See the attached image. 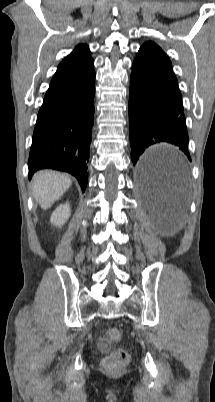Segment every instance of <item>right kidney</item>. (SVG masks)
<instances>
[{
	"instance_id": "obj_1",
	"label": "right kidney",
	"mask_w": 215,
	"mask_h": 402,
	"mask_svg": "<svg viewBox=\"0 0 215 402\" xmlns=\"http://www.w3.org/2000/svg\"><path fill=\"white\" fill-rule=\"evenodd\" d=\"M70 206L68 203L59 205L51 215V224L62 226L70 216Z\"/></svg>"
}]
</instances>
